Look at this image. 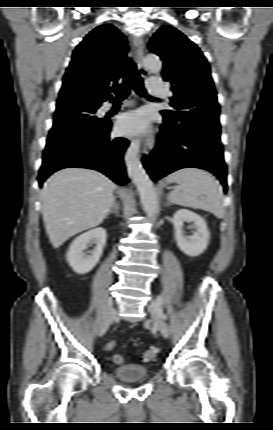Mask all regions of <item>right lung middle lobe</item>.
<instances>
[{"label": "right lung middle lobe", "instance_id": "right-lung-middle-lobe-1", "mask_svg": "<svg viewBox=\"0 0 273 430\" xmlns=\"http://www.w3.org/2000/svg\"><path fill=\"white\" fill-rule=\"evenodd\" d=\"M99 106L82 100H70L57 107L47 143L93 133L107 123L93 114Z\"/></svg>", "mask_w": 273, "mask_h": 430}]
</instances>
